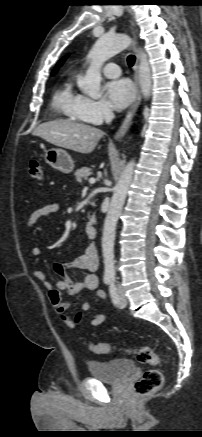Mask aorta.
<instances>
[{
	"instance_id": "1",
	"label": "aorta",
	"mask_w": 202,
	"mask_h": 437,
	"mask_svg": "<svg viewBox=\"0 0 202 437\" xmlns=\"http://www.w3.org/2000/svg\"><path fill=\"white\" fill-rule=\"evenodd\" d=\"M131 42V38L126 34L102 35L88 54L90 65L85 77L78 81L80 90L93 99L100 98L102 96L100 90L101 67L108 59L129 47ZM139 57V84L142 95L144 98L148 99L152 86L151 70L147 55L142 50L139 51ZM134 166V160H131L125 166L120 179L114 188L111 203L104 222L102 253L104 259V274L107 277H114L115 275L114 241L116 225L133 179Z\"/></svg>"
}]
</instances>
